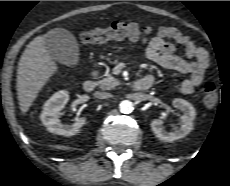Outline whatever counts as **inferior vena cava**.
I'll use <instances>...</instances> for the list:
<instances>
[{"instance_id": "obj_1", "label": "inferior vena cava", "mask_w": 230, "mask_h": 186, "mask_svg": "<svg viewBox=\"0 0 230 186\" xmlns=\"http://www.w3.org/2000/svg\"><path fill=\"white\" fill-rule=\"evenodd\" d=\"M94 96L99 99H107L110 98L112 95L107 92H96Z\"/></svg>"}]
</instances>
